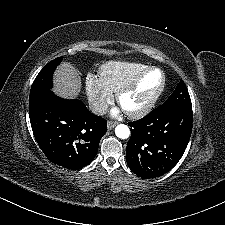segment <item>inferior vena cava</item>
Listing matches in <instances>:
<instances>
[{"instance_id": "inferior-vena-cava-1", "label": "inferior vena cava", "mask_w": 225, "mask_h": 225, "mask_svg": "<svg viewBox=\"0 0 225 225\" xmlns=\"http://www.w3.org/2000/svg\"><path fill=\"white\" fill-rule=\"evenodd\" d=\"M108 105L104 101L89 102V110L98 115H103L107 112Z\"/></svg>"}]
</instances>
